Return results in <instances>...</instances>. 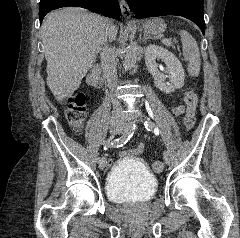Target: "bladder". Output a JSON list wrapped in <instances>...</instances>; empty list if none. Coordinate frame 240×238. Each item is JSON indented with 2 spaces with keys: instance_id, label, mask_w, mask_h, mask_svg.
<instances>
[{
  "instance_id": "obj_1",
  "label": "bladder",
  "mask_w": 240,
  "mask_h": 238,
  "mask_svg": "<svg viewBox=\"0 0 240 238\" xmlns=\"http://www.w3.org/2000/svg\"><path fill=\"white\" fill-rule=\"evenodd\" d=\"M158 182L147 165L137 157L120 159L106 179V194L116 203H145L156 194Z\"/></svg>"
}]
</instances>
